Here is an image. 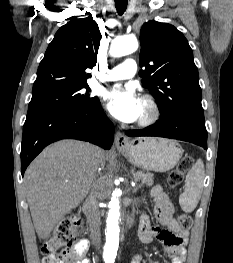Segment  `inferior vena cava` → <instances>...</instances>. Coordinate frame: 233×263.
<instances>
[{
  "mask_svg": "<svg viewBox=\"0 0 233 263\" xmlns=\"http://www.w3.org/2000/svg\"><path fill=\"white\" fill-rule=\"evenodd\" d=\"M97 197L96 187L94 186L83 206L87 223L89 225L90 236L96 248H98L101 243V220Z\"/></svg>",
  "mask_w": 233,
  "mask_h": 263,
  "instance_id": "inferior-vena-cava-1",
  "label": "inferior vena cava"
}]
</instances>
